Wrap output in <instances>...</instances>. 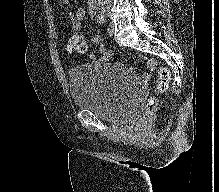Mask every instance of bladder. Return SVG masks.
<instances>
[{
	"label": "bladder",
	"instance_id": "obj_1",
	"mask_svg": "<svg viewBox=\"0 0 219 192\" xmlns=\"http://www.w3.org/2000/svg\"><path fill=\"white\" fill-rule=\"evenodd\" d=\"M74 105L112 123L132 119L140 110L143 91L120 65L90 62L74 66L67 73Z\"/></svg>",
	"mask_w": 219,
	"mask_h": 192
}]
</instances>
